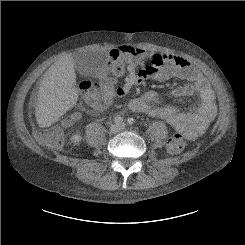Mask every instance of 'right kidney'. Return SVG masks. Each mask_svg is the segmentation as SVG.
Instances as JSON below:
<instances>
[{
    "mask_svg": "<svg viewBox=\"0 0 245 245\" xmlns=\"http://www.w3.org/2000/svg\"><path fill=\"white\" fill-rule=\"evenodd\" d=\"M81 139H82V136H81V135L75 134V135H73V136L71 137V142H73V143H78V142L81 141Z\"/></svg>",
    "mask_w": 245,
    "mask_h": 245,
    "instance_id": "1",
    "label": "right kidney"
}]
</instances>
